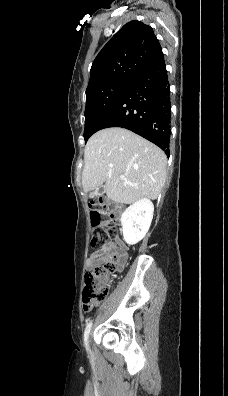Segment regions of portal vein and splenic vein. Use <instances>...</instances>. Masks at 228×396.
I'll list each match as a JSON object with an SVG mask.
<instances>
[{
  "instance_id": "18ae733b",
  "label": "portal vein and splenic vein",
  "mask_w": 228,
  "mask_h": 396,
  "mask_svg": "<svg viewBox=\"0 0 228 396\" xmlns=\"http://www.w3.org/2000/svg\"><path fill=\"white\" fill-rule=\"evenodd\" d=\"M120 179L127 182V179H126V177H125L124 175H121V176H120Z\"/></svg>"
}]
</instances>
